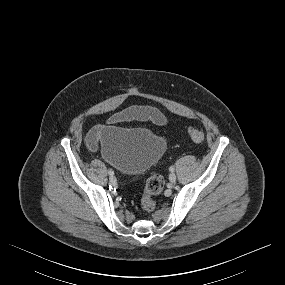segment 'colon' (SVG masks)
<instances>
[{"label":"colon","instance_id":"1","mask_svg":"<svg viewBox=\"0 0 285 285\" xmlns=\"http://www.w3.org/2000/svg\"><path fill=\"white\" fill-rule=\"evenodd\" d=\"M188 135L195 143H201L205 139L204 131L197 127H190L188 129ZM163 186V178L159 175H153L147 180L141 191V205L145 211L151 212L155 209L156 202L154 200V196L162 191Z\"/></svg>","mask_w":285,"mask_h":285}]
</instances>
